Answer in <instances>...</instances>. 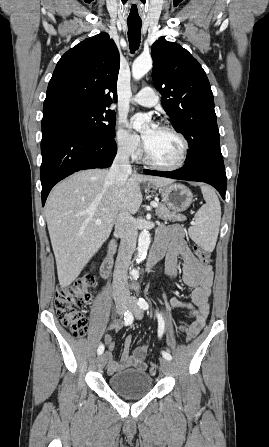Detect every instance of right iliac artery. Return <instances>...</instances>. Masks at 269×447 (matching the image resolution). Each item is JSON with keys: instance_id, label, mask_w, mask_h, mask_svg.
Listing matches in <instances>:
<instances>
[{"instance_id": "82829eb1", "label": "right iliac artery", "mask_w": 269, "mask_h": 447, "mask_svg": "<svg viewBox=\"0 0 269 447\" xmlns=\"http://www.w3.org/2000/svg\"><path fill=\"white\" fill-rule=\"evenodd\" d=\"M132 322H133V315L129 310H127L124 313V323H125V325H130V324H132ZM103 351H104V345L102 344L98 347V350H97L98 355L102 354Z\"/></svg>"}]
</instances>
